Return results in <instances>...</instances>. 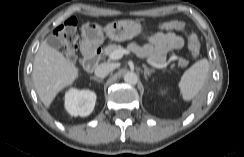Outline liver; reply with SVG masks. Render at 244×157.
Here are the masks:
<instances>
[{
	"label": "liver",
	"instance_id": "obj_1",
	"mask_svg": "<svg viewBox=\"0 0 244 157\" xmlns=\"http://www.w3.org/2000/svg\"><path fill=\"white\" fill-rule=\"evenodd\" d=\"M80 75L79 69L44 40L33 63L32 78L35 90L46 108L56 95L71 85Z\"/></svg>",
	"mask_w": 244,
	"mask_h": 157
}]
</instances>
